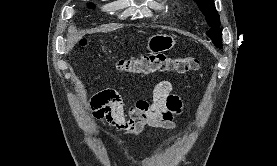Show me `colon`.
<instances>
[{"instance_id": "obj_1", "label": "colon", "mask_w": 277, "mask_h": 166, "mask_svg": "<svg viewBox=\"0 0 277 166\" xmlns=\"http://www.w3.org/2000/svg\"><path fill=\"white\" fill-rule=\"evenodd\" d=\"M85 44L84 40L80 41L81 46ZM198 66L199 60L195 57L175 58L161 53L130 57L117 62V67L121 71L137 75L170 72L183 74L196 70Z\"/></svg>"}]
</instances>
